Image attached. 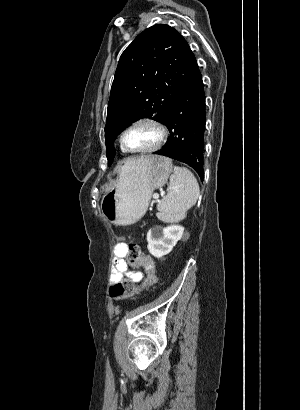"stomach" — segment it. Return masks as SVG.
<instances>
[{
    "label": "stomach",
    "mask_w": 300,
    "mask_h": 410,
    "mask_svg": "<svg viewBox=\"0 0 300 410\" xmlns=\"http://www.w3.org/2000/svg\"><path fill=\"white\" fill-rule=\"evenodd\" d=\"M172 171L169 158L150 155L134 167L122 166L116 186L101 201L103 215L116 225L139 221L147 211L152 193L162 187Z\"/></svg>",
    "instance_id": "stomach-1"
}]
</instances>
